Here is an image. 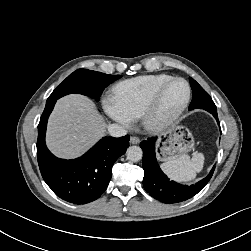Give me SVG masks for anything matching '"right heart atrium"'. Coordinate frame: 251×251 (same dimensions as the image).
<instances>
[{"instance_id": "obj_1", "label": "right heart atrium", "mask_w": 251, "mask_h": 251, "mask_svg": "<svg viewBox=\"0 0 251 251\" xmlns=\"http://www.w3.org/2000/svg\"><path fill=\"white\" fill-rule=\"evenodd\" d=\"M103 107L106 113L122 125L129 127L133 123V118L128 115L118 104L113 95H107L103 99Z\"/></svg>"}]
</instances>
